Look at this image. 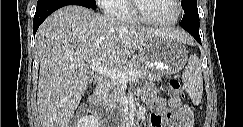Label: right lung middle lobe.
I'll list each match as a JSON object with an SVG mask.
<instances>
[{
  "mask_svg": "<svg viewBox=\"0 0 243 127\" xmlns=\"http://www.w3.org/2000/svg\"><path fill=\"white\" fill-rule=\"evenodd\" d=\"M41 0H38V2ZM92 9L96 8V2L94 0H84Z\"/></svg>",
  "mask_w": 243,
  "mask_h": 127,
  "instance_id": "dd1d6c3e",
  "label": "right lung middle lobe"
}]
</instances>
